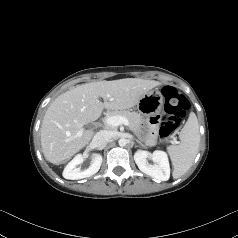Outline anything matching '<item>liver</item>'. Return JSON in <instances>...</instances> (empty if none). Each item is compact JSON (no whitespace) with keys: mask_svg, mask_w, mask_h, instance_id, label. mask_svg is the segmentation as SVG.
<instances>
[{"mask_svg":"<svg viewBox=\"0 0 238 238\" xmlns=\"http://www.w3.org/2000/svg\"><path fill=\"white\" fill-rule=\"evenodd\" d=\"M158 85L157 81L139 78L104 80L79 85L59 95L48 107L41 125L45 159L56 165L70 159L90 142L94 131L85 130L84 125L97 120L104 108L130 109Z\"/></svg>","mask_w":238,"mask_h":238,"instance_id":"1","label":"liver"}]
</instances>
